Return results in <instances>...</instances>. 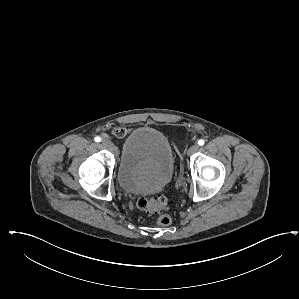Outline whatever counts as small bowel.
Wrapping results in <instances>:
<instances>
[{
    "instance_id": "obj_1",
    "label": "small bowel",
    "mask_w": 299,
    "mask_h": 299,
    "mask_svg": "<svg viewBox=\"0 0 299 299\" xmlns=\"http://www.w3.org/2000/svg\"><path fill=\"white\" fill-rule=\"evenodd\" d=\"M128 132H129L128 127H117L113 130V133L118 137H122L126 135Z\"/></svg>"
}]
</instances>
